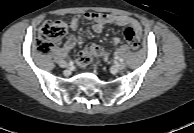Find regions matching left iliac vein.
Returning a JSON list of instances; mask_svg holds the SVG:
<instances>
[{"label":"left iliac vein","mask_w":194,"mask_h":133,"mask_svg":"<svg viewBox=\"0 0 194 133\" xmlns=\"http://www.w3.org/2000/svg\"><path fill=\"white\" fill-rule=\"evenodd\" d=\"M125 67H126V64L124 62H119L113 66V70L120 71V70L125 69Z\"/></svg>","instance_id":"1"}]
</instances>
